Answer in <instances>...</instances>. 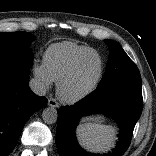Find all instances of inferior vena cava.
I'll list each match as a JSON object with an SVG mask.
<instances>
[{
    "label": "inferior vena cava",
    "mask_w": 156,
    "mask_h": 156,
    "mask_svg": "<svg viewBox=\"0 0 156 156\" xmlns=\"http://www.w3.org/2000/svg\"><path fill=\"white\" fill-rule=\"evenodd\" d=\"M29 86L36 95L44 96L46 94V85L40 79L32 78L29 82Z\"/></svg>",
    "instance_id": "obj_1"
}]
</instances>
